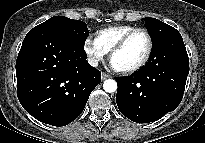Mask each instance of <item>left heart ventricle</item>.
<instances>
[{
	"label": "left heart ventricle",
	"instance_id": "b2bd125f",
	"mask_svg": "<svg viewBox=\"0 0 205 143\" xmlns=\"http://www.w3.org/2000/svg\"><path fill=\"white\" fill-rule=\"evenodd\" d=\"M147 45L145 34L137 32L129 39L125 47L113 56L112 61L121 70L130 68L142 60L146 53Z\"/></svg>",
	"mask_w": 205,
	"mask_h": 143
}]
</instances>
